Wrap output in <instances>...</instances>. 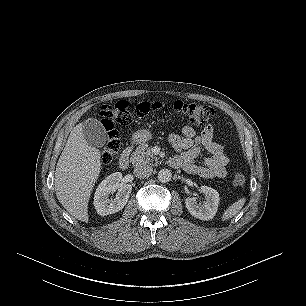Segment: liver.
Wrapping results in <instances>:
<instances>
[{
	"label": "liver",
	"instance_id": "liver-1",
	"mask_svg": "<svg viewBox=\"0 0 306 306\" xmlns=\"http://www.w3.org/2000/svg\"><path fill=\"white\" fill-rule=\"evenodd\" d=\"M82 123L71 131L55 171L56 196L70 215L88 222V203L101 171V153L86 141Z\"/></svg>",
	"mask_w": 306,
	"mask_h": 306
}]
</instances>
